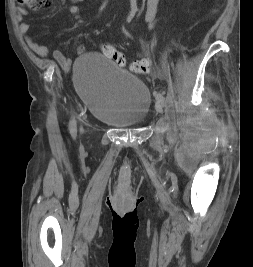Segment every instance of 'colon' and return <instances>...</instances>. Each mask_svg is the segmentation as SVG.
<instances>
[{
  "label": "colon",
  "instance_id": "1",
  "mask_svg": "<svg viewBox=\"0 0 253 267\" xmlns=\"http://www.w3.org/2000/svg\"><path fill=\"white\" fill-rule=\"evenodd\" d=\"M21 6L27 7L33 10H39L46 7L51 0H16ZM101 50L104 55L113 60L117 65L123 67L126 65V59L124 55L115 47L109 44H102ZM132 72L137 74L147 73L150 69V61L148 59H140L130 64Z\"/></svg>",
  "mask_w": 253,
  "mask_h": 267
}]
</instances>
